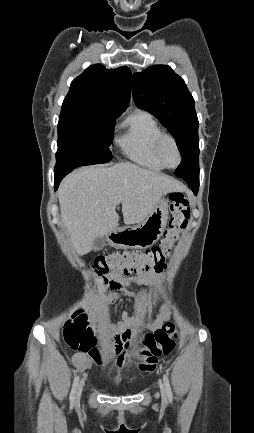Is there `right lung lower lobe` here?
Returning a JSON list of instances; mask_svg holds the SVG:
<instances>
[{
	"mask_svg": "<svg viewBox=\"0 0 254 433\" xmlns=\"http://www.w3.org/2000/svg\"><path fill=\"white\" fill-rule=\"evenodd\" d=\"M56 166L54 170V187L57 190L59 183L61 180L70 173L73 169L78 166H81L80 163H76L72 160H56Z\"/></svg>",
	"mask_w": 254,
	"mask_h": 433,
	"instance_id": "98d812e1",
	"label": "right lung lower lobe"
}]
</instances>
